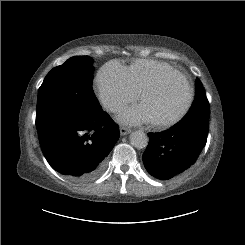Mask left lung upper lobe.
<instances>
[{"instance_id":"obj_1","label":"left lung upper lobe","mask_w":245,"mask_h":245,"mask_svg":"<svg viewBox=\"0 0 245 245\" xmlns=\"http://www.w3.org/2000/svg\"><path fill=\"white\" fill-rule=\"evenodd\" d=\"M175 127L209 128V103L199 79L195 81V99L187 115Z\"/></svg>"}]
</instances>
